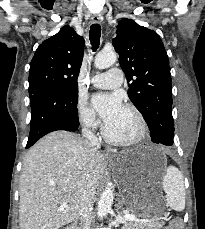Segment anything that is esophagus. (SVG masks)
<instances>
[{"label":"esophagus","mask_w":205,"mask_h":229,"mask_svg":"<svg viewBox=\"0 0 205 229\" xmlns=\"http://www.w3.org/2000/svg\"><path fill=\"white\" fill-rule=\"evenodd\" d=\"M91 22L92 23H100V18L97 15H94L91 17ZM115 150L112 148H106V157L108 159H112L114 157Z\"/></svg>","instance_id":"34e87169"}]
</instances>
